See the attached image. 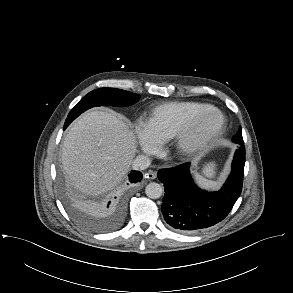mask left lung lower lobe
I'll return each mask as SVG.
<instances>
[{"mask_svg": "<svg viewBox=\"0 0 293 293\" xmlns=\"http://www.w3.org/2000/svg\"><path fill=\"white\" fill-rule=\"evenodd\" d=\"M245 147L234 155L231 173L217 192L200 189L190 175V163L161 169L164 184L162 213L169 226L180 233H195L222 221L239 198L244 176Z\"/></svg>", "mask_w": 293, "mask_h": 293, "instance_id": "left-lung-lower-lobe-1", "label": "left lung lower lobe"}]
</instances>
